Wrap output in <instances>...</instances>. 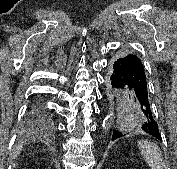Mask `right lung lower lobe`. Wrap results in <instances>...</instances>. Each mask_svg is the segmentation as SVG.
<instances>
[{
  "mask_svg": "<svg viewBox=\"0 0 177 169\" xmlns=\"http://www.w3.org/2000/svg\"><path fill=\"white\" fill-rule=\"evenodd\" d=\"M33 115L35 116V117H42L43 116V111L41 110V109H39V108H35L34 110H33Z\"/></svg>",
  "mask_w": 177,
  "mask_h": 169,
  "instance_id": "98d812e1",
  "label": "right lung lower lobe"
}]
</instances>
